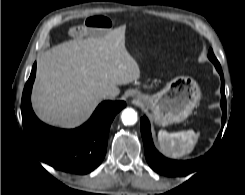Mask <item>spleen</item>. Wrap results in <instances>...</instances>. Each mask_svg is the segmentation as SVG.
Masks as SVG:
<instances>
[{
    "instance_id": "1",
    "label": "spleen",
    "mask_w": 245,
    "mask_h": 195,
    "mask_svg": "<svg viewBox=\"0 0 245 195\" xmlns=\"http://www.w3.org/2000/svg\"><path fill=\"white\" fill-rule=\"evenodd\" d=\"M199 133L193 130L168 133L165 130L158 132V143L161 152L167 157L178 159L193 151Z\"/></svg>"
}]
</instances>
